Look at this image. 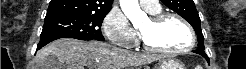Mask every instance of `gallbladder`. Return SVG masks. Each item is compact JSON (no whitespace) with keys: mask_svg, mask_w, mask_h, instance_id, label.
Here are the masks:
<instances>
[{"mask_svg":"<svg viewBox=\"0 0 246 69\" xmlns=\"http://www.w3.org/2000/svg\"><path fill=\"white\" fill-rule=\"evenodd\" d=\"M46 65L44 66V69H66L65 65L62 64H55L54 57L52 55H49L46 58ZM39 69V67H37Z\"/></svg>","mask_w":246,"mask_h":69,"instance_id":"obj_1","label":"gallbladder"}]
</instances>
